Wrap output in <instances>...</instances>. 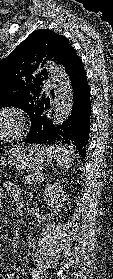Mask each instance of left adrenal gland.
Instances as JSON below:
<instances>
[{"mask_svg": "<svg viewBox=\"0 0 113 279\" xmlns=\"http://www.w3.org/2000/svg\"><path fill=\"white\" fill-rule=\"evenodd\" d=\"M44 179H45V178H43L41 181H39V183L42 182V181H44ZM39 183H38V184H39Z\"/></svg>", "mask_w": 113, "mask_h": 279, "instance_id": "obj_1", "label": "left adrenal gland"}]
</instances>
